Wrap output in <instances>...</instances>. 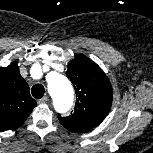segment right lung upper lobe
Returning a JSON list of instances; mask_svg holds the SVG:
<instances>
[{"mask_svg":"<svg viewBox=\"0 0 153 153\" xmlns=\"http://www.w3.org/2000/svg\"><path fill=\"white\" fill-rule=\"evenodd\" d=\"M36 105L18 65L12 62L8 67L0 68V129L20 127Z\"/></svg>","mask_w":153,"mask_h":153,"instance_id":"cb5924a9","label":"right lung upper lobe"}]
</instances>
